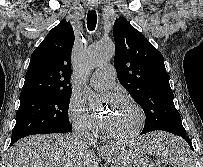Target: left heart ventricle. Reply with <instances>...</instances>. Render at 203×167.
<instances>
[{
	"label": "left heart ventricle",
	"mask_w": 203,
	"mask_h": 167,
	"mask_svg": "<svg viewBox=\"0 0 203 167\" xmlns=\"http://www.w3.org/2000/svg\"><path fill=\"white\" fill-rule=\"evenodd\" d=\"M102 123L110 132L123 135L130 132L137 123L135 112L124 103L102 116Z\"/></svg>",
	"instance_id": "b2bd125f"
}]
</instances>
